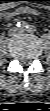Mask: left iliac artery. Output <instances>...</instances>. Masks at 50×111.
Listing matches in <instances>:
<instances>
[{
    "label": "left iliac artery",
    "instance_id": "obj_1",
    "mask_svg": "<svg viewBox=\"0 0 50 111\" xmlns=\"http://www.w3.org/2000/svg\"><path fill=\"white\" fill-rule=\"evenodd\" d=\"M27 29L29 32H34L36 30L35 26H33V25H28Z\"/></svg>",
    "mask_w": 50,
    "mask_h": 111
}]
</instances>
